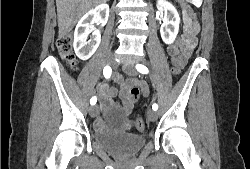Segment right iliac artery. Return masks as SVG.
Returning <instances> with one entry per match:
<instances>
[{
	"mask_svg": "<svg viewBox=\"0 0 250 169\" xmlns=\"http://www.w3.org/2000/svg\"><path fill=\"white\" fill-rule=\"evenodd\" d=\"M103 74H104V77L106 79L110 78L111 74H112V69L110 66H105L104 69H103ZM97 102V98L94 96L90 99V104L91 105H95Z\"/></svg>",
	"mask_w": 250,
	"mask_h": 169,
	"instance_id": "82829eb1",
	"label": "right iliac artery"
}]
</instances>
